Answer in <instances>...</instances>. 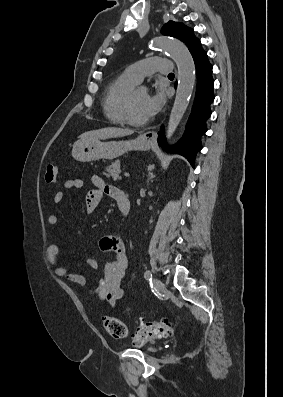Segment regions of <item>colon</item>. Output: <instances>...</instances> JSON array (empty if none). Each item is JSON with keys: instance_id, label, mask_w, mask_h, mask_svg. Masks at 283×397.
<instances>
[{"instance_id": "obj_1", "label": "colon", "mask_w": 283, "mask_h": 397, "mask_svg": "<svg viewBox=\"0 0 283 397\" xmlns=\"http://www.w3.org/2000/svg\"><path fill=\"white\" fill-rule=\"evenodd\" d=\"M58 176V166L49 164L44 173V181L47 184L56 182ZM104 327L108 334L117 340H123L128 337V329L126 325L119 319L106 316L103 319ZM172 333V324L168 319L159 321L141 323L135 330L133 335L136 343H142L149 340L167 337Z\"/></svg>"}]
</instances>
